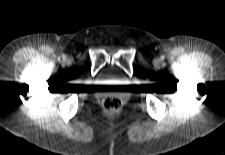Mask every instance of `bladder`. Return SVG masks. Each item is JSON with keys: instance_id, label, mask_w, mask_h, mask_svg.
Here are the masks:
<instances>
[{"instance_id": "obj_1", "label": "bladder", "mask_w": 225, "mask_h": 155, "mask_svg": "<svg viewBox=\"0 0 225 155\" xmlns=\"http://www.w3.org/2000/svg\"><path fill=\"white\" fill-rule=\"evenodd\" d=\"M104 78H106V79H107V78H108V79H109V78H112L111 73H109V72H108V73H106V74L104 75Z\"/></svg>"}]
</instances>
